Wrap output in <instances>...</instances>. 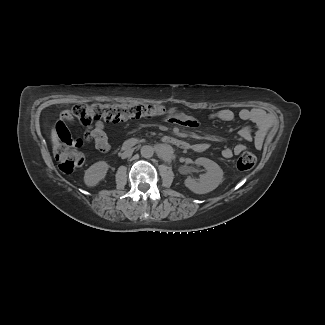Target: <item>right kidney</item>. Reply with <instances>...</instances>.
Listing matches in <instances>:
<instances>
[{
  "label": "right kidney",
  "instance_id": "right-kidney-1",
  "mask_svg": "<svg viewBox=\"0 0 325 325\" xmlns=\"http://www.w3.org/2000/svg\"><path fill=\"white\" fill-rule=\"evenodd\" d=\"M109 169L105 161H99L90 166L84 175V182L87 186H96L104 177Z\"/></svg>",
  "mask_w": 325,
  "mask_h": 325
}]
</instances>
